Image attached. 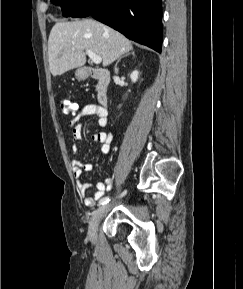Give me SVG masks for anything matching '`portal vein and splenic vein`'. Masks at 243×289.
<instances>
[{
	"instance_id": "18ae733b",
	"label": "portal vein and splenic vein",
	"mask_w": 243,
	"mask_h": 289,
	"mask_svg": "<svg viewBox=\"0 0 243 289\" xmlns=\"http://www.w3.org/2000/svg\"><path fill=\"white\" fill-rule=\"evenodd\" d=\"M86 53L95 64H100L102 62V58L96 53H94L92 50L87 49Z\"/></svg>"
}]
</instances>
